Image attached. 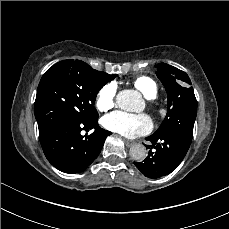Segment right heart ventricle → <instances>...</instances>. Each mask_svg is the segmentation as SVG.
Returning a JSON list of instances; mask_svg holds the SVG:
<instances>
[{
  "instance_id": "obj_1",
  "label": "right heart ventricle",
  "mask_w": 229,
  "mask_h": 229,
  "mask_svg": "<svg viewBox=\"0 0 229 229\" xmlns=\"http://www.w3.org/2000/svg\"><path fill=\"white\" fill-rule=\"evenodd\" d=\"M133 85L148 99H153L157 96L158 87L156 83L147 76L136 77L133 80Z\"/></svg>"
}]
</instances>
